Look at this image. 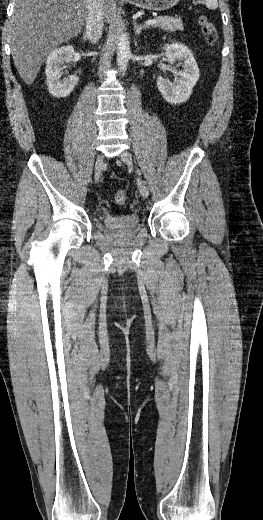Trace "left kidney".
I'll use <instances>...</instances> for the list:
<instances>
[{"instance_id": "obj_1", "label": "left kidney", "mask_w": 263, "mask_h": 520, "mask_svg": "<svg viewBox=\"0 0 263 520\" xmlns=\"http://www.w3.org/2000/svg\"><path fill=\"white\" fill-rule=\"evenodd\" d=\"M163 49L166 51L165 55L168 62L173 64L178 61L183 69L177 73L179 76L177 84L173 85L168 79L158 76L157 87L168 103L180 104L186 102L199 79L200 72L197 63L191 51L182 44H166Z\"/></svg>"}]
</instances>
